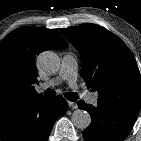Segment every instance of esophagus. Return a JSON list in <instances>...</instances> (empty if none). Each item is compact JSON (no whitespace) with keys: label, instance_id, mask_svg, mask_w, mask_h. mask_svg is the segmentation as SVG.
<instances>
[{"label":"esophagus","instance_id":"1","mask_svg":"<svg viewBox=\"0 0 141 141\" xmlns=\"http://www.w3.org/2000/svg\"><path fill=\"white\" fill-rule=\"evenodd\" d=\"M68 106L71 108V109H77L78 105L76 102H72V101H68Z\"/></svg>","mask_w":141,"mask_h":141}]
</instances>
